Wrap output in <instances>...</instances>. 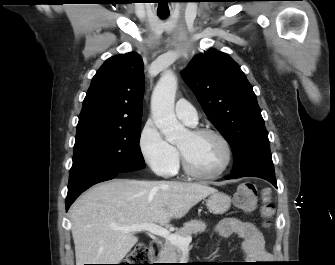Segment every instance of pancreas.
Listing matches in <instances>:
<instances>
[{"label": "pancreas", "instance_id": "obj_1", "mask_svg": "<svg viewBox=\"0 0 335 265\" xmlns=\"http://www.w3.org/2000/svg\"><path fill=\"white\" fill-rule=\"evenodd\" d=\"M206 230V224L201 220H190L184 223L183 227L177 230L175 234L188 237L192 234L197 235ZM181 259V250L179 246L173 245L170 241L166 240L163 251L160 255V260L163 263H178Z\"/></svg>", "mask_w": 335, "mask_h": 265}]
</instances>
